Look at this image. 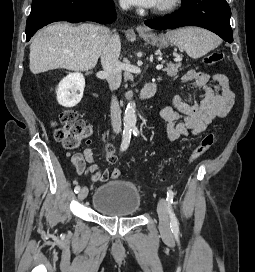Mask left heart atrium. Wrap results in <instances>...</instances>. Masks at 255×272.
I'll return each instance as SVG.
<instances>
[{
  "mask_svg": "<svg viewBox=\"0 0 255 272\" xmlns=\"http://www.w3.org/2000/svg\"><path fill=\"white\" fill-rule=\"evenodd\" d=\"M127 1L136 6L152 8L155 7L158 0H127Z\"/></svg>",
  "mask_w": 255,
  "mask_h": 272,
  "instance_id": "obj_1",
  "label": "left heart atrium"
}]
</instances>
